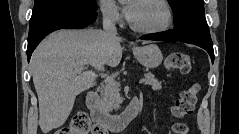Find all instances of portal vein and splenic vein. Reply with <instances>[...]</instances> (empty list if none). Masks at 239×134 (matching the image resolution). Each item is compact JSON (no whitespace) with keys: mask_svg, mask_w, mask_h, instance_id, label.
I'll return each mask as SVG.
<instances>
[{"mask_svg":"<svg viewBox=\"0 0 239 134\" xmlns=\"http://www.w3.org/2000/svg\"><path fill=\"white\" fill-rule=\"evenodd\" d=\"M84 69H85L84 66H77V67L75 68V72L78 73V72H81V71L84 70ZM145 81H146V79L142 78V79L139 80V84H142V83H144Z\"/></svg>","mask_w":239,"mask_h":134,"instance_id":"obj_1","label":"portal vein and splenic vein"}]
</instances>
